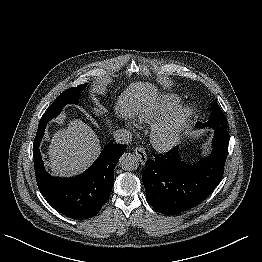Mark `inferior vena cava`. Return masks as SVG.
<instances>
[{"mask_svg":"<svg viewBox=\"0 0 262 262\" xmlns=\"http://www.w3.org/2000/svg\"><path fill=\"white\" fill-rule=\"evenodd\" d=\"M114 139L116 143L128 144L132 140V135L128 130L121 129L114 132Z\"/></svg>","mask_w":262,"mask_h":262,"instance_id":"1","label":"inferior vena cava"}]
</instances>
